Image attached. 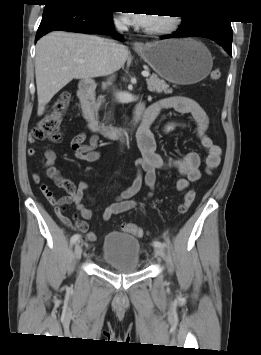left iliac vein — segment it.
Returning a JSON list of instances; mask_svg holds the SVG:
<instances>
[{
  "mask_svg": "<svg viewBox=\"0 0 261 355\" xmlns=\"http://www.w3.org/2000/svg\"><path fill=\"white\" fill-rule=\"evenodd\" d=\"M155 253L158 257H161V258H164L165 257V253H164V250L160 247H157L155 249Z\"/></svg>",
  "mask_w": 261,
  "mask_h": 355,
  "instance_id": "4c4485c4",
  "label": "left iliac vein"
}]
</instances>
